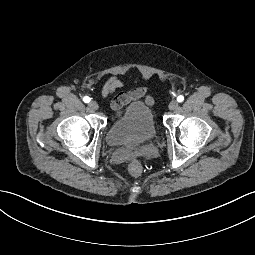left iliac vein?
<instances>
[{
	"label": "left iliac vein",
	"instance_id": "1",
	"mask_svg": "<svg viewBox=\"0 0 255 255\" xmlns=\"http://www.w3.org/2000/svg\"><path fill=\"white\" fill-rule=\"evenodd\" d=\"M169 109L170 110H175L178 108V102L176 100H172L170 103H169Z\"/></svg>",
	"mask_w": 255,
	"mask_h": 255
}]
</instances>
